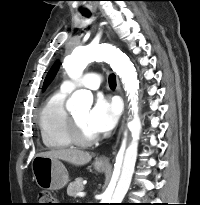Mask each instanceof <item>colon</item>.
<instances>
[{
    "instance_id": "obj_1",
    "label": "colon",
    "mask_w": 200,
    "mask_h": 205,
    "mask_svg": "<svg viewBox=\"0 0 200 205\" xmlns=\"http://www.w3.org/2000/svg\"><path fill=\"white\" fill-rule=\"evenodd\" d=\"M38 205H54V199L50 192L42 191L38 195Z\"/></svg>"
}]
</instances>
